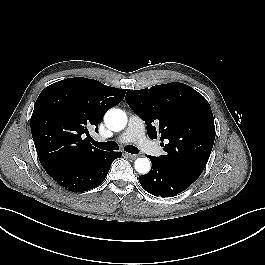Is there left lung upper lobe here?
Masks as SVG:
<instances>
[{
  "instance_id": "obj_1",
  "label": "left lung upper lobe",
  "mask_w": 265,
  "mask_h": 265,
  "mask_svg": "<svg viewBox=\"0 0 265 265\" xmlns=\"http://www.w3.org/2000/svg\"><path fill=\"white\" fill-rule=\"evenodd\" d=\"M126 102L147 125L151 139L161 135L162 164L195 179L207 164L215 140V126L207 100L190 86L168 83L127 91Z\"/></svg>"
}]
</instances>
